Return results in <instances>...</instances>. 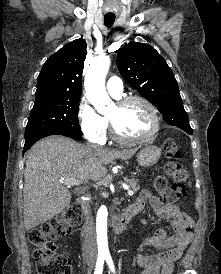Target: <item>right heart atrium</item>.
Returning <instances> with one entry per match:
<instances>
[{
	"instance_id": "obj_1",
	"label": "right heart atrium",
	"mask_w": 221,
	"mask_h": 274,
	"mask_svg": "<svg viewBox=\"0 0 221 274\" xmlns=\"http://www.w3.org/2000/svg\"><path fill=\"white\" fill-rule=\"evenodd\" d=\"M78 120L83 135L90 141H104L108 128L105 117L96 112L92 105L83 98L78 106Z\"/></svg>"
}]
</instances>
